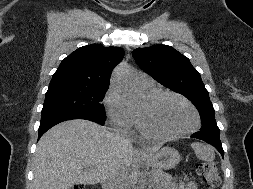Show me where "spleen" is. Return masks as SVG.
<instances>
[{"mask_svg":"<svg viewBox=\"0 0 253 189\" xmlns=\"http://www.w3.org/2000/svg\"><path fill=\"white\" fill-rule=\"evenodd\" d=\"M191 148L194 150L196 156L200 160L213 162L215 159V152L212 146L204 143L193 142Z\"/></svg>","mask_w":253,"mask_h":189,"instance_id":"spleen-1","label":"spleen"}]
</instances>
